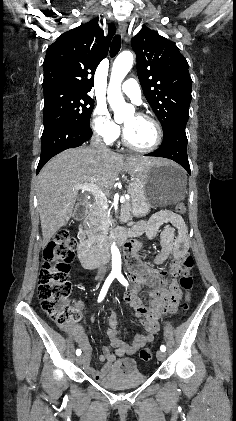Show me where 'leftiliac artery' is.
<instances>
[{
  "label": "left iliac artery",
  "instance_id": "1",
  "mask_svg": "<svg viewBox=\"0 0 236 421\" xmlns=\"http://www.w3.org/2000/svg\"><path fill=\"white\" fill-rule=\"evenodd\" d=\"M116 278L118 279V281H119L122 285H124V286H126V287L129 285V284H128V281L124 278V276H123L121 273H117V274H116ZM160 350H161L162 352H165L166 347H165L164 345H161Z\"/></svg>",
  "mask_w": 236,
  "mask_h": 421
}]
</instances>
